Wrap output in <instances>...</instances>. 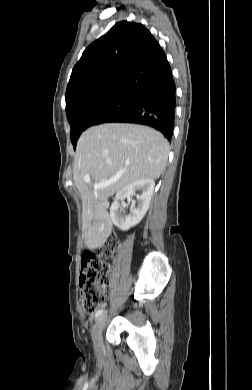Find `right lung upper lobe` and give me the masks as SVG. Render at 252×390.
Returning <instances> with one entry per match:
<instances>
[{"label": "right lung upper lobe", "mask_w": 252, "mask_h": 390, "mask_svg": "<svg viewBox=\"0 0 252 390\" xmlns=\"http://www.w3.org/2000/svg\"><path fill=\"white\" fill-rule=\"evenodd\" d=\"M171 67L142 24L121 21L93 42L74 66L66 90V112L111 95H135L167 77Z\"/></svg>", "instance_id": "cb5924a9"}]
</instances>
